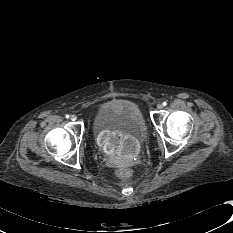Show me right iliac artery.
<instances>
[{"mask_svg": "<svg viewBox=\"0 0 233 233\" xmlns=\"http://www.w3.org/2000/svg\"><path fill=\"white\" fill-rule=\"evenodd\" d=\"M67 119L70 117L68 114H66V116H65Z\"/></svg>", "mask_w": 233, "mask_h": 233, "instance_id": "right-iliac-artery-1", "label": "right iliac artery"}]
</instances>
